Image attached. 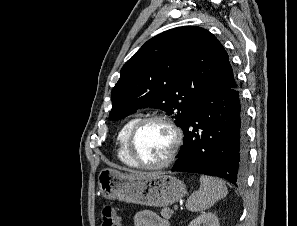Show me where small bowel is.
Returning a JSON list of instances; mask_svg holds the SVG:
<instances>
[{
  "label": "small bowel",
  "instance_id": "1",
  "mask_svg": "<svg viewBox=\"0 0 297 226\" xmlns=\"http://www.w3.org/2000/svg\"><path fill=\"white\" fill-rule=\"evenodd\" d=\"M132 224L133 226H168L167 220L149 210L135 213Z\"/></svg>",
  "mask_w": 297,
  "mask_h": 226
}]
</instances>
